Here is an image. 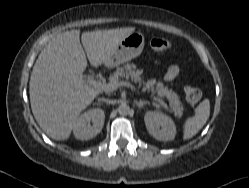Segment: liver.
Masks as SVG:
<instances>
[{
	"instance_id": "obj_1",
	"label": "liver",
	"mask_w": 249,
	"mask_h": 188,
	"mask_svg": "<svg viewBox=\"0 0 249 188\" xmlns=\"http://www.w3.org/2000/svg\"><path fill=\"white\" fill-rule=\"evenodd\" d=\"M134 31L128 27L84 32L83 49L80 30H71L58 34L41 51L31 72L29 93L33 115L49 137L68 139L80 113L99 94L82 78L87 58L93 67L104 64Z\"/></svg>"
}]
</instances>
